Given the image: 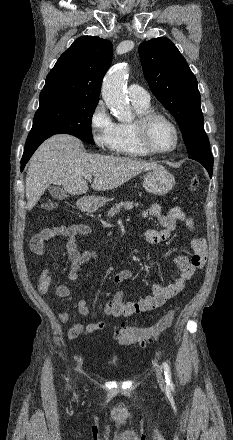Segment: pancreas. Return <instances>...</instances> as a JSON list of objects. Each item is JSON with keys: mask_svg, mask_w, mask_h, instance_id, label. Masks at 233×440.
<instances>
[{"mask_svg": "<svg viewBox=\"0 0 233 440\" xmlns=\"http://www.w3.org/2000/svg\"><path fill=\"white\" fill-rule=\"evenodd\" d=\"M139 204L138 203H133V202H120L118 204H115V206H113L107 213V216L112 218L113 216H115L116 214H118L121 209H125V210H132L134 207H138Z\"/></svg>", "mask_w": 233, "mask_h": 440, "instance_id": "cf45deb5", "label": "pancreas"}]
</instances>
